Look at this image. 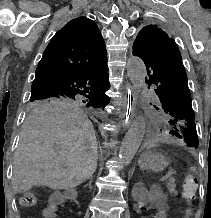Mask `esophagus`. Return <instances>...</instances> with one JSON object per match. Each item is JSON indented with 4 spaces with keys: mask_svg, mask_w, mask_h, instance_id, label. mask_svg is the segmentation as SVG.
<instances>
[{
    "mask_svg": "<svg viewBox=\"0 0 211 218\" xmlns=\"http://www.w3.org/2000/svg\"><path fill=\"white\" fill-rule=\"evenodd\" d=\"M126 96L121 98L119 101V104L121 106H125V109H122L121 116L122 117H132L133 116V105L132 104H127V103H135V96H134V89H127L126 91ZM117 123H123V127L121 128L123 131L126 128H129V123L132 122L131 118H117L116 119Z\"/></svg>",
    "mask_w": 211,
    "mask_h": 218,
    "instance_id": "obj_1",
    "label": "esophagus"
}]
</instances>
